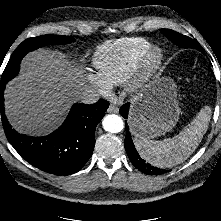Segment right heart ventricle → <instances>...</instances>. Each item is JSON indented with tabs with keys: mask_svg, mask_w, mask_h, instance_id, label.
I'll return each instance as SVG.
<instances>
[{
	"mask_svg": "<svg viewBox=\"0 0 221 221\" xmlns=\"http://www.w3.org/2000/svg\"><path fill=\"white\" fill-rule=\"evenodd\" d=\"M151 46L142 37L121 38L105 42L94 54L97 74L110 87L122 84L132 72L138 59Z\"/></svg>",
	"mask_w": 221,
	"mask_h": 221,
	"instance_id": "right-heart-ventricle-1",
	"label": "right heart ventricle"
}]
</instances>
